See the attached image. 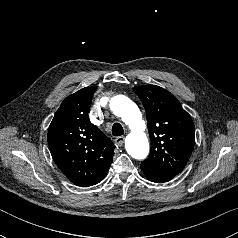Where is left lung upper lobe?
I'll list each match as a JSON object with an SVG mask.
<instances>
[{
  "label": "left lung upper lobe",
  "mask_w": 238,
  "mask_h": 238,
  "mask_svg": "<svg viewBox=\"0 0 238 238\" xmlns=\"http://www.w3.org/2000/svg\"><path fill=\"white\" fill-rule=\"evenodd\" d=\"M133 90L146 110L151 140L150 155L141 164L160 172L179 174L195 143V127L190 115L164 88L144 85Z\"/></svg>",
  "instance_id": "left-lung-upper-lobe-1"
}]
</instances>
